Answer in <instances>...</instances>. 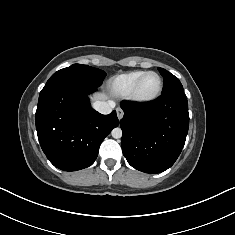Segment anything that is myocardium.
Listing matches in <instances>:
<instances>
[{
	"mask_svg": "<svg viewBox=\"0 0 235 235\" xmlns=\"http://www.w3.org/2000/svg\"><path fill=\"white\" fill-rule=\"evenodd\" d=\"M150 74H154L157 76L158 81H159L158 89L153 95L144 97L139 94V88L144 78ZM162 89H163V81H162L161 76L155 71H146L135 83L129 95V98L132 101L139 103V104H148V103L155 101L161 95Z\"/></svg>",
	"mask_w": 235,
	"mask_h": 235,
	"instance_id": "f54148a6",
	"label": "myocardium"
}]
</instances>
